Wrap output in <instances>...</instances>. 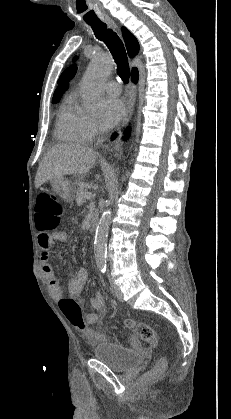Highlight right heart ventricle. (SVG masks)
I'll use <instances>...</instances> for the list:
<instances>
[{
    "label": "right heart ventricle",
    "instance_id": "right-heart-ventricle-1",
    "mask_svg": "<svg viewBox=\"0 0 231 419\" xmlns=\"http://www.w3.org/2000/svg\"><path fill=\"white\" fill-rule=\"evenodd\" d=\"M88 115L76 104L74 97H68L58 110L55 134L58 139L84 144L89 138L86 134Z\"/></svg>",
    "mask_w": 231,
    "mask_h": 419
}]
</instances>
